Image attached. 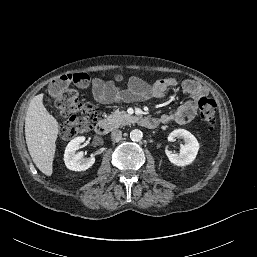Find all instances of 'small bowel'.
I'll list each match as a JSON object with an SVG mask.
<instances>
[{
    "label": "small bowel",
    "instance_id": "small-bowel-1",
    "mask_svg": "<svg viewBox=\"0 0 257 257\" xmlns=\"http://www.w3.org/2000/svg\"><path fill=\"white\" fill-rule=\"evenodd\" d=\"M180 87L187 100L174 112L163 114L159 121L162 124H187L196 115L199 99L207 94L206 88L194 80H184L179 83L175 78L157 80L152 86L140 78L132 77L126 87L117 88L111 82L104 83L93 79L91 94L95 101L101 104L129 103L144 101L150 98H162L171 88Z\"/></svg>",
    "mask_w": 257,
    "mask_h": 257
}]
</instances>
